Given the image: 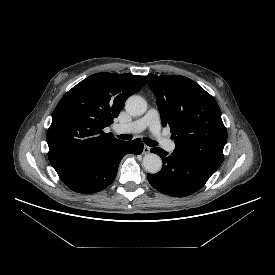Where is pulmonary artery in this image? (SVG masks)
Listing matches in <instances>:
<instances>
[{
	"label": "pulmonary artery",
	"mask_w": 275,
	"mask_h": 275,
	"mask_svg": "<svg viewBox=\"0 0 275 275\" xmlns=\"http://www.w3.org/2000/svg\"><path fill=\"white\" fill-rule=\"evenodd\" d=\"M149 129L158 139L159 143L168 151H173L175 144L160 135V115L157 109L151 108L144 117L128 124H118L115 130L118 133H138Z\"/></svg>",
	"instance_id": "e3ab8cb5"
}]
</instances>
